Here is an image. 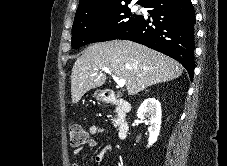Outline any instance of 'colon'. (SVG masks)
Wrapping results in <instances>:
<instances>
[{
  "mask_svg": "<svg viewBox=\"0 0 227 166\" xmlns=\"http://www.w3.org/2000/svg\"><path fill=\"white\" fill-rule=\"evenodd\" d=\"M68 136L70 145L73 147L86 145L90 141L89 134L78 125H72L68 128Z\"/></svg>",
  "mask_w": 227,
  "mask_h": 166,
  "instance_id": "obj_1",
  "label": "colon"
}]
</instances>
